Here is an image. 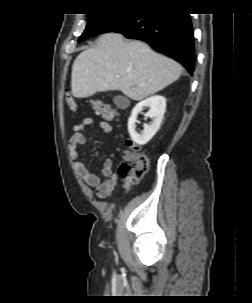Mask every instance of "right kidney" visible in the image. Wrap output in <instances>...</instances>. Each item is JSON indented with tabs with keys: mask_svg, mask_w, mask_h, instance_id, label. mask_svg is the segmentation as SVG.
<instances>
[{
	"mask_svg": "<svg viewBox=\"0 0 252 303\" xmlns=\"http://www.w3.org/2000/svg\"><path fill=\"white\" fill-rule=\"evenodd\" d=\"M149 107V111L145 114L150 117L152 122L144 124V130L138 134L135 130V123L138 114L145 108ZM166 110V99L161 95H155L139 102L132 110V114L128 120V131L132 140L138 145L147 144L156 132L160 129L162 119Z\"/></svg>",
	"mask_w": 252,
	"mask_h": 303,
	"instance_id": "1",
	"label": "right kidney"
}]
</instances>
